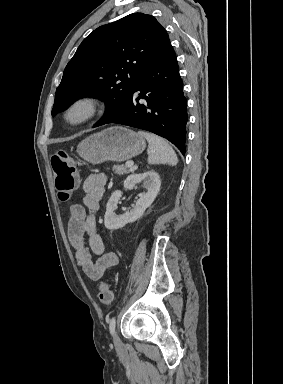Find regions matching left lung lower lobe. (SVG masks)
<instances>
[{"label": "left lung lower lobe", "instance_id": "obj_1", "mask_svg": "<svg viewBox=\"0 0 283 384\" xmlns=\"http://www.w3.org/2000/svg\"><path fill=\"white\" fill-rule=\"evenodd\" d=\"M139 99L145 102L140 104ZM187 120L183 82L176 54L169 43L136 82L127 105L96 126L117 123L147 130L168 139L185 154Z\"/></svg>", "mask_w": 283, "mask_h": 384}]
</instances>
